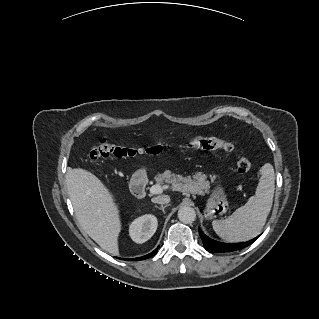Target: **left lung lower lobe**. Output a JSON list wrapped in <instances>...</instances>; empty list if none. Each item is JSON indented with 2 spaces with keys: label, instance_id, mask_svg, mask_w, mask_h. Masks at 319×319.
Segmentation results:
<instances>
[{
  "label": "left lung lower lobe",
  "instance_id": "left-lung-lower-lobe-1",
  "mask_svg": "<svg viewBox=\"0 0 319 319\" xmlns=\"http://www.w3.org/2000/svg\"><path fill=\"white\" fill-rule=\"evenodd\" d=\"M199 234H200V237L203 241L205 249L211 253L236 251V250H239V249H242L244 247L249 246L259 237V236H257L254 239L247 241V242L235 243V244H224V243L215 242V241L209 239L202 232V230L200 228H199Z\"/></svg>",
  "mask_w": 319,
  "mask_h": 319
}]
</instances>
